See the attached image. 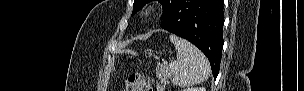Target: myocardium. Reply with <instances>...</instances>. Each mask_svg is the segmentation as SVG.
Listing matches in <instances>:
<instances>
[{
  "mask_svg": "<svg viewBox=\"0 0 304 91\" xmlns=\"http://www.w3.org/2000/svg\"><path fill=\"white\" fill-rule=\"evenodd\" d=\"M155 13L156 10L154 9V7L151 5H147L141 10L140 16L142 19L148 20L151 19L155 15Z\"/></svg>",
  "mask_w": 304,
  "mask_h": 91,
  "instance_id": "obj_1",
  "label": "myocardium"
}]
</instances>
